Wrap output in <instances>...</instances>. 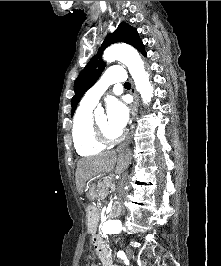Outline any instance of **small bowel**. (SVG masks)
Listing matches in <instances>:
<instances>
[{"mask_svg": "<svg viewBox=\"0 0 221 266\" xmlns=\"http://www.w3.org/2000/svg\"><path fill=\"white\" fill-rule=\"evenodd\" d=\"M91 244L95 255L101 261L102 266H116L111 259L110 247L103 240L102 235L92 234Z\"/></svg>", "mask_w": 221, "mask_h": 266, "instance_id": "1", "label": "small bowel"}]
</instances>
